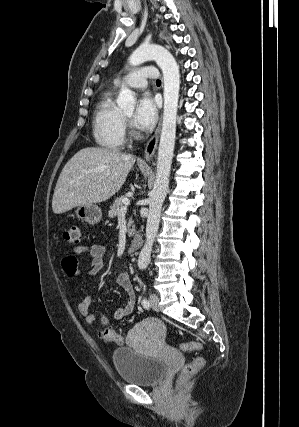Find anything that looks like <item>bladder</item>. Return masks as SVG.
<instances>
[{"label": "bladder", "mask_w": 299, "mask_h": 427, "mask_svg": "<svg viewBox=\"0 0 299 427\" xmlns=\"http://www.w3.org/2000/svg\"><path fill=\"white\" fill-rule=\"evenodd\" d=\"M112 359L120 379L139 386L157 385L167 372V366L162 360L130 347L115 349Z\"/></svg>", "instance_id": "31cf9c89"}]
</instances>
